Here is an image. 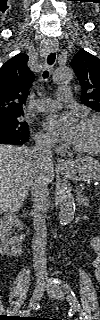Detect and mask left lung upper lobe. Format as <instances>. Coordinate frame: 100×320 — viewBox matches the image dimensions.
Masks as SVG:
<instances>
[{
    "mask_svg": "<svg viewBox=\"0 0 100 320\" xmlns=\"http://www.w3.org/2000/svg\"><path fill=\"white\" fill-rule=\"evenodd\" d=\"M70 65L82 85V103L100 112V59L81 49Z\"/></svg>",
    "mask_w": 100,
    "mask_h": 320,
    "instance_id": "5c2ea615",
    "label": "left lung upper lobe"
}]
</instances>
